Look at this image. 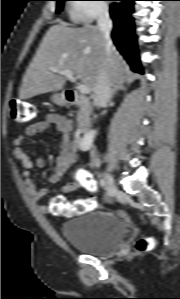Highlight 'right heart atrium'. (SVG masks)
<instances>
[{
  "label": "right heart atrium",
  "mask_w": 180,
  "mask_h": 299,
  "mask_svg": "<svg viewBox=\"0 0 180 299\" xmlns=\"http://www.w3.org/2000/svg\"><path fill=\"white\" fill-rule=\"evenodd\" d=\"M72 7L71 15L80 21L91 22L108 13L104 0H77Z\"/></svg>",
  "instance_id": "right-heart-atrium-1"
}]
</instances>
